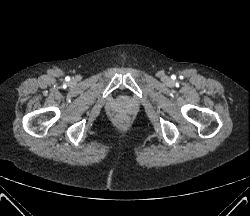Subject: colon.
Here are the masks:
<instances>
[{
    "label": "colon",
    "instance_id": "5ec220e1",
    "mask_svg": "<svg viewBox=\"0 0 250 216\" xmlns=\"http://www.w3.org/2000/svg\"><path fill=\"white\" fill-rule=\"evenodd\" d=\"M118 122L119 123H123L124 122V118L123 117H118Z\"/></svg>",
    "mask_w": 250,
    "mask_h": 216
}]
</instances>
